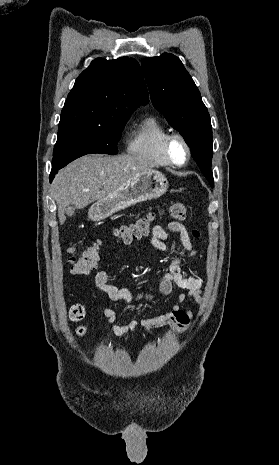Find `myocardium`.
Here are the masks:
<instances>
[{
	"instance_id": "f54148a6",
	"label": "myocardium",
	"mask_w": 279,
	"mask_h": 465,
	"mask_svg": "<svg viewBox=\"0 0 279 465\" xmlns=\"http://www.w3.org/2000/svg\"><path fill=\"white\" fill-rule=\"evenodd\" d=\"M176 140L180 141L183 144L185 151H186L185 159L182 162H176L171 155V145ZM162 148H163V152H164L166 159L173 166H177V167L184 166L191 157V148H190L188 141L182 134L178 132L169 133L163 141Z\"/></svg>"
}]
</instances>
